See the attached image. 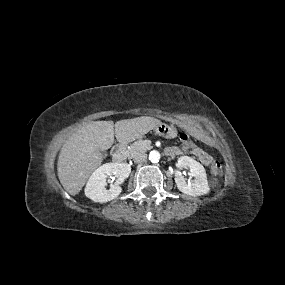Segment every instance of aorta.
<instances>
[{"label": "aorta", "instance_id": "aorta-1", "mask_svg": "<svg viewBox=\"0 0 285 285\" xmlns=\"http://www.w3.org/2000/svg\"><path fill=\"white\" fill-rule=\"evenodd\" d=\"M149 160L153 163H157L160 160V153L158 151H151L149 154Z\"/></svg>", "mask_w": 285, "mask_h": 285}]
</instances>
